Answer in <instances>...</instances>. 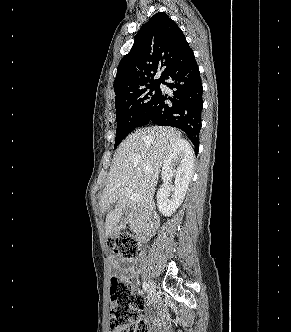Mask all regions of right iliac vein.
<instances>
[{
  "label": "right iliac vein",
  "instance_id": "obj_1",
  "mask_svg": "<svg viewBox=\"0 0 291 332\" xmlns=\"http://www.w3.org/2000/svg\"><path fill=\"white\" fill-rule=\"evenodd\" d=\"M148 296L151 302L156 298V285L153 281H150L149 283Z\"/></svg>",
  "mask_w": 291,
  "mask_h": 332
}]
</instances>
